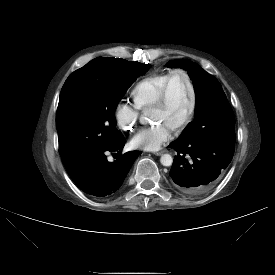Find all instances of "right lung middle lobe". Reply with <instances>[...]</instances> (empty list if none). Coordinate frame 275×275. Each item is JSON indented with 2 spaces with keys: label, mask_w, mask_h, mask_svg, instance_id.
I'll return each instance as SVG.
<instances>
[{
  "label": "right lung middle lobe",
  "mask_w": 275,
  "mask_h": 275,
  "mask_svg": "<svg viewBox=\"0 0 275 275\" xmlns=\"http://www.w3.org/2000/svg\"><path fill=\"white\" fill-rule=\"evenodd\" d=\"M148 64L98 57L73 72L59 98L56 125L63 162L102 151L122 137L115 110L127 89Z\"/></svg>",
  "instance_id": "right-lung-middle-lobe-1"
}]
</instances>
